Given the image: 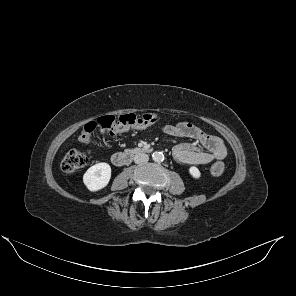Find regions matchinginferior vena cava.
<instances>
[{"label":"inferior vena cava","mask_w":296,"mask_h":296,"mask_svg":"<svg viewBox=\"0 0 296 296\" xmlns=\"http://www.w3.org/2000/svg\"><path fill=\"white\" fill-rule=\"evenodd\" d=\"M149 160V156L145 153H138L134 156V162L136 164L146 163Z\"/></svg>","instance_id":"602c4592"}]
</instances>
